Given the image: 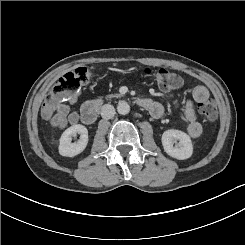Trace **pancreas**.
<instances>
[{"label":"pancreas","instance_id":"pancreas-1","mask_svg":"<svg viewBox=\"0 0 245 245\" xmlns=\"http://www.w3.org/2000/svg\"><path fill=\"white\" fill-rule=\"evenodd\" d=\"M120 96H121V94H120V93L115 92V93H113V94L108 95V96H107V99H109V98H113V97L119 98Z\"/></svg>","mask_w":245,"mask_h":245}]
</instances>
